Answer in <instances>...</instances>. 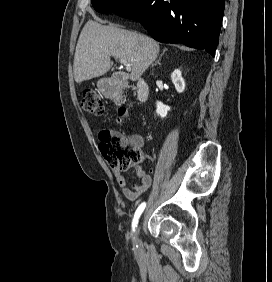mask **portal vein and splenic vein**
Returning <instances> with one entry per match:
<instances>
[{"mask_svg": "<svg viewBox=\"0 0 272 282\" xmlns=\"http://www.w3.org/2000/svg\"><path fill=\"white\" fill-rule=\"evenodd\" d=\"M119 61H120L121 64L125 65L126 70L129 71L131 69V66H130V64L127 61H125L123 59H119Z\"/></svg>", "mask_w": 272, "mask_h": 282, "instance_id": "obj_1", "label": "portal vein and splenic vein"}]
</instances>
